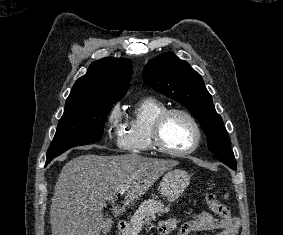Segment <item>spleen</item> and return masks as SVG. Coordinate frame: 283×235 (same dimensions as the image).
Returning a JSON list of instances; mask_svg holds the SVG:
<instances>
[{"mask_svg":"<svg viewBox=\"0 0 283 235\" xmlns=\"http://www.w3.org/2000/svg\"><path fill=\"white\" fill-rule=\"evenodd\" d=\"M224 198L227 199V198H228V195L226 194V195L224 196Z\"/></svg>","mask_w":283,"mask_h":235,"instance_id":"spleen-1","label":"spleen"}]
</instances>
